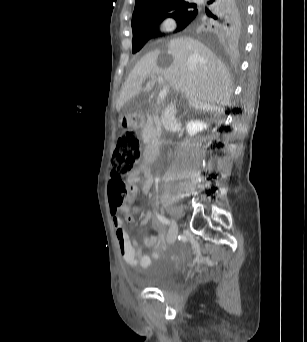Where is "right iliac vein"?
Instances as JSON below:
<instances>
[{
    "mask_svg": "<svg viewBox=\"0 0 307 342\" xmlns=\"http://www.w3.org/2000/svg\"><path fill=\"white\" fill-rule=\"evenodd\" d=\"M177 235H178V226H177V223L174 219L171 220V226H170V229H169V233H168V236H167V240L168 242H173L176 240L177 238Z\"/></svg>",
    "mask_w": 307,
    "mask_h": 342,
    "instance_id": "obj_1",
    "label": "right iliac vein"
}]
</instances>
